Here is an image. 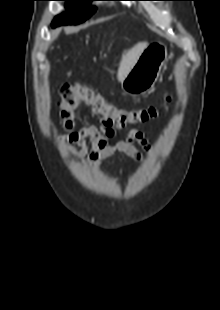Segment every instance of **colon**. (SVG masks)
<instances>
[{
	"instance_id": "colon-1",
	"label": "colon",
	"mask_w": 220,
	"mask_h": 310,
	"mask_svg": "<svg viewBox=\"0 0 220 310\" xmlns=\"http://www.w3.org/2000/svg\"><path fill=\"white\" fill-rule=\"evenodd\" d=\"M61 118L67 128H72L76 120V111L79 106H90L93 111L101 116V123L105 127L123 128L144 124L154 119L159 112L157 105L141 108H123L105 99L94 89L82 83H66L60 89ZM165 102L170 101L167 95Z\"/></svg>"
}]
</instances>
